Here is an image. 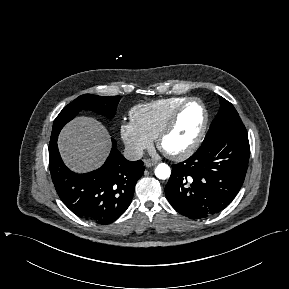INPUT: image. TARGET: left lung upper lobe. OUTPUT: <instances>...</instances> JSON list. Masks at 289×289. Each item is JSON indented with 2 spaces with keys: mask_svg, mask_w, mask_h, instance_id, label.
I'll return each instance as SVG.
<instances>
[{
  "mask_svg": "<svg viewBox=\"0 0 289 289\" xmlns=\"http://www.w3.org/2000/svg\"><path fill=\"white\" fill-rule=\"evenodd\" d=\"M219 102V112L211 123L205 138H209L220 132H234L247 135L246 128L234 106L223 97H219Z\"/></svg>",
  "mask_w": 289,
  "mask_h": 289,
  "instance_id": "1",
  "label": "left lung upper lobe"
}]
</instances>
